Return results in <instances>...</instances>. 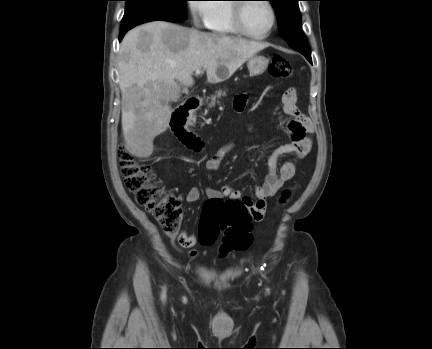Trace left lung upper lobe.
I'll return each mask as SVG.
<instances>
[{
    "label": "left lung upper lobe",
    "mask_w": 432,
    "mask_h": 349,
    "mask_svg": "<svg viewBox=\"0 0 432 349\" xmlns=\"http://www.w3.org/2000/svg\"><path fill=\"white\" fill-rule=\"evenodd\" d=\"M278 17V27L281 36L298 51L309 52V47L300 28L301 14L299 0H268Z\"/></svg>",
    "instance_id": "1"
}]
</instances>
